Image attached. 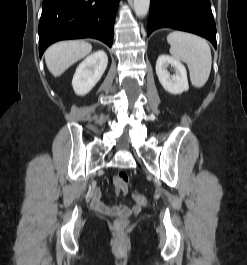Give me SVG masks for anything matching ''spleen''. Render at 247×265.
<instances>
[{"label":"spleen","instance_id":"1","mask_svg":"<svg viewBox=\"0 0 247 265\" xmlns=\"http://www.w3.org/2000/svg\"><path fill=\"white\" fill-rule=\"evenodd\" d=\"M167 41L171 55L187 64L193 86L203 87L209 78L212 65L211 50L207 41L182 31L170 33Z\"/></svg>","mask_w":247,"mask_h":265}]
</instances>
